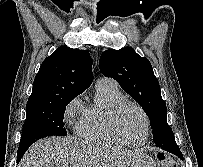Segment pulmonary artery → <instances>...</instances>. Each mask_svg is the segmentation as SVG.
<instances>
[{"label": "pulmonary artery", "instance_id": "e3ab8cb5", "mask_svg": "<svg viewBox=\"0 0 203 167\" xmlns=\"http://www.w3.org/2000/svg\"><path fill=\"white\" fill-rule=\"evenodd\" d=\"M107 82H113V80H111L110 78H100V79L97 81V85L103 84V83H107Z\"/></svg>", "mask_w": 203, "mask_h": 167}]
</instances>
